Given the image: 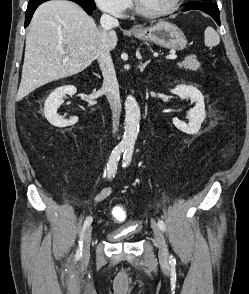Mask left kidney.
Here are the masks:
<instances>
[{
    "instance_id": "5707ae66",
    "label": "left kidney",
    "mask_w": 249,
    "mask_h": 294,
    "mask_svg": "<svg viewBox=\"0 0 249 294\" xmlns=\"http://www.w3.org/2000/svg\"><path fill=\"white\" fill-rule=\"evenodd\" d=\"M171 93L178 95L181 99H190L196 105L189 112V123H185L178 118H173V124L180 131L187 134H196L205 119V103L202 93L192 85H177Z\"/></svg>"
}]
</instances>
